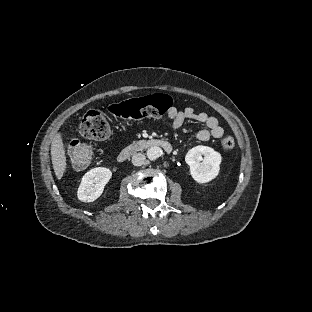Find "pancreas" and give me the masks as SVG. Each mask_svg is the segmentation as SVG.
<instances>
[{"label":"pancreas","mask_w":312,"mask_h":312,"mask_svg":"<svg viewBox=\"0 0 312 312\" xmlns=\"http://www.w3.org/2000/svg\"><path fill=\"white\" fill-rule=\"evenodd\" d=\"M148 145V141L146 140H141V141H133L131 144V148L137 152V151H141L144 147H146Z\"/></svg>","instance_id":"pancreas-1"}]
</instances>
